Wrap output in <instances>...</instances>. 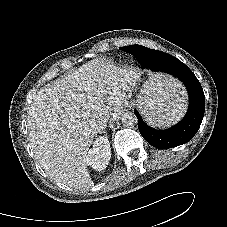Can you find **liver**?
I'll return each mask as SVG.
<instances>
[{"label":"liver","instance_id":"liver-1","mask_svg":"<svg viewBox=\"0 0 227 227\" xmlns=\"http://www.w3.org/2000/svg\"><path fill=\"white\" fill-rule=\"evenodd\" d=\"M128 80L127 70L95 59L37 92L27 111L28 136L48 176L79 190L94 185L86 156L99 124H106L119 106V89Z\"/></svg>","mask_w":227,"mask_h":227}]
</instances>
